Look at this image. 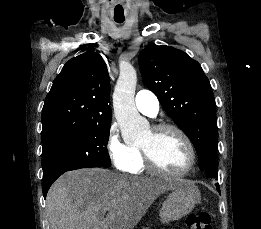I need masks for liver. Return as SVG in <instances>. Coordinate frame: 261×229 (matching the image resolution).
I'll return each mask as SVG.
<instances>
[{
  "mask_svg": "<svg viewBox=\"0 0 261 229\" xmlns=\"http://www.w3.org/2000/svg\"><path fill=\"white\" fill-rule=\"evenodd\" d=\"M172 189V181L117 175L107 169L69 171L48 191L49 227L134 229L155 199Z\"/></svg>",
  "mask_w": 261,
  "mask_h": 229,
  "instance_id": "1",
  "label": "liver"
}]
</instances>
